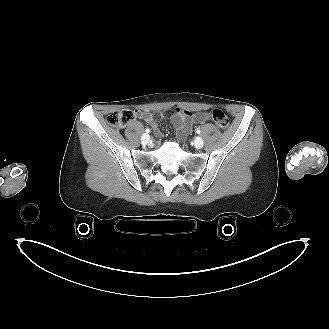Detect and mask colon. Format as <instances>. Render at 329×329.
Returning a JSON list of instances; mask_svg holds the SVG:
<instances>
[{
    "label": "colon",
    "instance_id": "colon-1",
    "mask_svg": "<svg viewBox=\"0 0 329 329\" xmlns=\"http://www.w3.org/2000/svg\"><path fill=\"white\" fill-rule=\"evenodd\" d=\"M137 114V110L123 109L108 114L106 121L112 127L123 128L133 121ZM209 115L222 130H226L229 127V119L222 110L214 109L210 111Z\"/></svg>",
    "mask_w": 329,
    "mask_h": 329
}]
</instances>
